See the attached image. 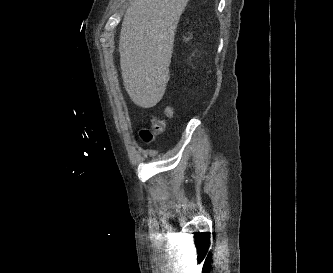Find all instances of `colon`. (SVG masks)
I'll use <instances>...</instances> for the list:
<instances>
[{
  "label": "colon",
  "mask_w": 333,
  "mask_h": 273,
  "mask_svg": "<svg viewBox=\"0 0 333 273\" xmlns=\"http://www.w3.org/2000/svg\"><path fill=\"white\" fill-rule=\"evenodd\" d=\"M171 116V110L167 108L165 110V116L161 118H154L151 122L150 127L143 128L140 131V137L141 139L149 143L151 142L154 137L160 133H162L166 127V118Z\"/></svg>",
  "instance_id": "1"
}]
</instances>
